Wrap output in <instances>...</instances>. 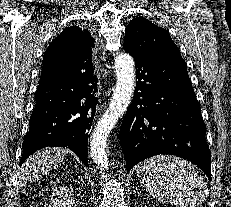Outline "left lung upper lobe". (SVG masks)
<instances>
[{"mask_svg": "<svg viewBox=\"0 0 231 207\" xmlns=\"http://www.w3.org/2000/svg\"><path fill=\"white\" fill-rule=\"evenodd\" d=\"M123 47L132 56L139 54L167 61L183 60L168 31L139 16L125 29Z\"/></svg>", "mask_w": 231, "mask_h": 207, "instance_id": "left-lung-upper-lobe-1", "label": "left lung upper lobe"}]
</instances>
